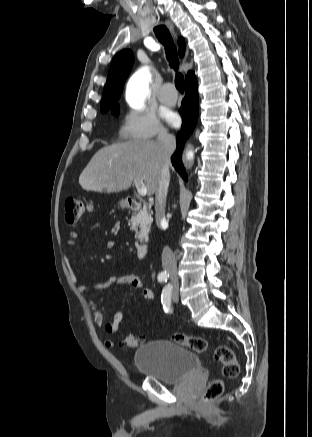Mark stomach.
I'll list each match as a JSON object with an SVG mask.
<instances>
[{
	"label": "stomach",
	"mask_w": 312,
	"mask_h": 437,
	"mask_svg": "<svg viewBox=\"0 0 312 437\" xmlns=\"http://www.w3.org/2000/svg\"><path fill=\"white\" fill-rule=\"evenodd\" d=\"M120 204H121L122 207L126 206V203L124 201H122Z\"/></svg>",
	"instance_id": "0dacf381"
}]
</instances>
